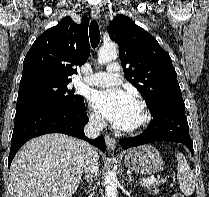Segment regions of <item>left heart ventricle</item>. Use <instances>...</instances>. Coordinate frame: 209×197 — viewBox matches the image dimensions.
I'll return each mask as SVG.
<instances>
[{
	"label": "left heart ventricle",
	"instance_id": "1",
	"mask_svg": "<svg viewBox=\"0 0 209 197\" xmlns=\"http://www.w3.org/2000/svg\"><path fill=\"white\" fill-rule=\"evenodd\" d=\"M140 118H141V112L139 107H137L132 122L128 128L135 126L140 121Z\"/></svg>",
	"mask_w": 209,
	"mask_h": 197
}]
</instances>
